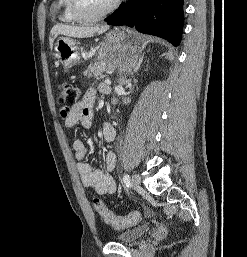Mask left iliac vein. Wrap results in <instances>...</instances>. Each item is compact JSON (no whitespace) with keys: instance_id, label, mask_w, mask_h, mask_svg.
I'll return each instance as SVG.
<instances>
[{"instance_id":"obj_1","label":"left iliac vein","mask_w":247,"mask_h":257,"mask_svg":"<svg viewBox=\"0 0 247 257\" xmlns=\"http://www.w3.org/2000/svg\"><path fill=\"white\" fill-rule=\"evenodd\" d=\"M132 184H133L134 188H136V189L140 188L141 177L138 174H134L132 176Z\"/></svg>"}]
</instances>
